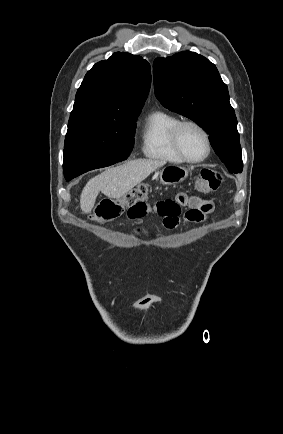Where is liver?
Segmentation results:
<instances>
[{"mask_svg":"<svg viewBox=\"0 0 283 434\" xmlns=\"http://www.w3.org/2000/svg\"><path fill=\"white\" fill-rule=\"evenodd\" d=\"M164 164L165 161L138 159L107 169L90 179L83 188L80 196L81 210L90 213L100 191L109 198L120 199Z\"/></svg>","mask_w":283,"mask_h":434,"instance_id":"1","label":"liver"}]
</instances>
